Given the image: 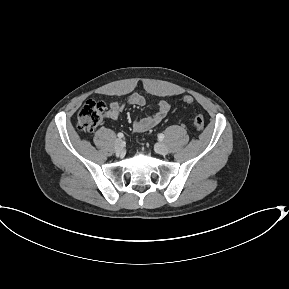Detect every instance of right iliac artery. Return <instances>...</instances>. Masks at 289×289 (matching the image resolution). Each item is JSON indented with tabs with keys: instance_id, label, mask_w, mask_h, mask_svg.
<instances>
[{
	"instance_id": "obj_1",
	"label": "right iliac artery",
	"mask_w": 289,
	"mask_h": 289,
	"mask_svg": "<svg viewBox=\"0 0 289 289\" xmlns=\"http://www.w3.org/2000/svg\"><path fill=\"white\" fill-rule=\"evenodd\" d=\"M119 138H123L124 137V134L123 133H118L117 135Z\"/></svg>"
}]
</instances>
